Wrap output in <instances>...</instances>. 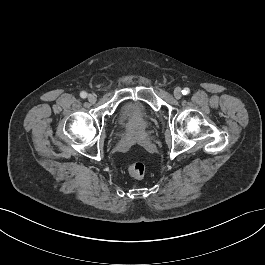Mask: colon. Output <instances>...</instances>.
<instances>
[{
	"mask_svg": "<svg viewBox=\"0 0 265 265\" xmlns=\"http://www.w3.org/2000/svg\"><path fill=\"white\" fill-rule=\"evenodd\" d=\"M127 169L129 174L136 179H142L146 173V167L140 161L131 162Z\"/></svg>",
	"mask_w": 265,
	"mask_h": 265,
	"instance_id": "obj_1",
	"label": "colon"
}]
</instances>
